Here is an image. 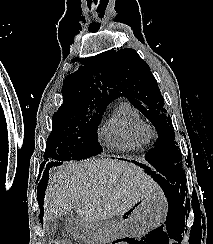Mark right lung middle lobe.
Here are the masks:
<instances>
[{"instance_id": "1", "label": "right lung middle lobe", "mask_w": 213, "mask_h": 244, "mask_svg": "<svg viewBox=\"0 0 213 244\" xmlns=\"http://www.w3.org/2000/svg\"><path fill=\"white\" fill-rule=\"evenodd\" d=\"M104 110L81 106L59 108L47 139L44 157L54 160L86 159L102 151L97 128Z\"/></svg>"}]
</instances>
